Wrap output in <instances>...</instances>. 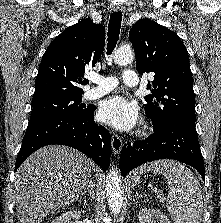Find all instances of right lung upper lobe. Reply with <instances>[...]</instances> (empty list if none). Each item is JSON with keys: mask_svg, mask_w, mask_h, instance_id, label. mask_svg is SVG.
Wrapping results in <instances>:
<instances>
[{"mask_svg": "<svg viewBox=\"0 0 221 223\" xmlns=\"http://www.w3.org/2000/svg\"><path fill=\"white\" fill-rule=\"evenodd\" d=\"M105 42V29L91 19L66 28L48 46L41 60L33 103L83 93L82 79L88 67L100 58Z\"/></svg>", "mask_w": 221, "mask_h": 223, "instance_id": "cb5924a9", "label": "right lung upper lobe"}]
</instances>
